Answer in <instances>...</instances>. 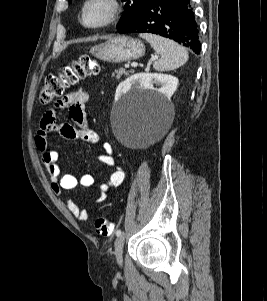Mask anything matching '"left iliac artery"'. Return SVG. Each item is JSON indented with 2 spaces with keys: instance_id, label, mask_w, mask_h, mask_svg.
<instances>
[{
  "instance_id": "obj_1",
  "label": "left iliac artery",
  "mask_w": 267,
  "mask_h": 301,
  "mask_svg": "<svg viewBox=\"0 0 267 301\" xmlns=\"http://www.w3.org/2000/svg\"><path fill=\"white\" fill-rule=\"evenodd\" d=\"M120 234H121V230L118 229V230L116 231V235L119 236Z\"/></svg>"
}]
</instances>
